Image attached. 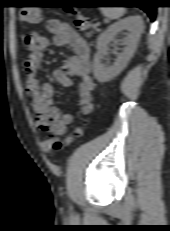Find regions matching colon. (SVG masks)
Instances as JSON below:
<instances>
[{"instance_id":"colon-1","label":"colon","mask_w":170,"mask_h":231,"mask_svg":"<svg viewBox=\"0 0 170 231\" xmlns=\"http://www.w3.org/2000/svg\"><path fill=\"white\" fill-rule=\"evenodd\" d=\"M20 19L27 23H38L43 19L42 12L37 8H23L20 12ZM76 29L88 32L92 26L90 20L81 14H77L74 20ZM82 127H75L65 138H58L53 134L47 136L42 144L47 153H57L66 145L71 143L75 138L81 136Z\"/></svg>"}]
</instances>
